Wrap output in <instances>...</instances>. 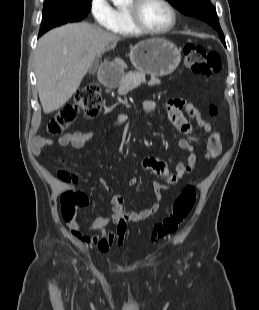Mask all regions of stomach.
Wrapping results in <instances>:
<instances>
[{"mask_svg":"<svg viewBox=\"0 0 259 310\" xmlns=\"http://www.w3.org/2000/svg\"><path fill=\"white\" fill-rule=\"evenodd\" d=\"M130 60L141 73L165 76L173 73L178 67L181 53L170 41L152 38L137 43L131 49Z\"/></svg>","mask_w":259,"mask_h":310,"instance_id":"obj_1","label":"stomach"}]
</instances>
